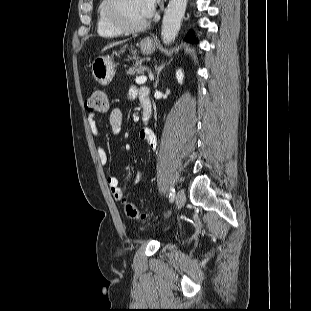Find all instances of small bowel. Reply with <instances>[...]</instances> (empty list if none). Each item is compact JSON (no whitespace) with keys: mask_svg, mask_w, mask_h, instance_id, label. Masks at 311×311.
Here are the masks:
<instances>
[{"mask_svg":"<svg viewBox=\"0 0 311 311\" xmlns=\"http://www.w3.org/2000/svg\"><path fill=\"white\" fill-rule=\"evenodd\" d=\"M130 97L135 98L138 97L141 105L143 100H149V90L146 87H141L139 89L133 88L130 91ZM151 103V102H150ZM123 123V113L119 108H114L111 110L109 114V124L111 127V130L114 134H119L122 128ZM87 124L90 129L91 134L93 137L97 138L100 135L95 115L93 113H90L87 115ZM139 138L141 141L147 143L150 147L153 149H156L157 147V138L155 133L152 131V129L145 127L142 128L139 132ZM98 158L102 165H106L108 162V156L105 150L102 147H98ZM143 178L142 172H138L135 177L133 178L132 183L137 184L139 183ZM107 186L113 196V198L117 201H121L124 198L123 192L119 186V180L115 176H109L106 179Z\"/></svg>","mask_w":311,"mask_h":311,"instance_id":"c3829d8e","label":"small bowel"}]
</instances>
